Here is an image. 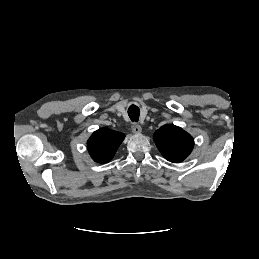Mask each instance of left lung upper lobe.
Wrapping results in <instances>:
<instances>
[{"mask_svg": "<svg viewBox=\"0 0 259 259\" xmlns=\"http://www.w3.org/2000/svg\"><path fill=\"white\" fill-rule=\"evenodd\" d=\"M153 140L170 162H182L191 153L194 139L182 128L175 125H164L153 134Z\"/></svg>", "mask_w": 259, "mask_h": 259, "instance_id": "left-lung-upper-lobe-1", "label": "left lung upper lobe"}]
</instances>
